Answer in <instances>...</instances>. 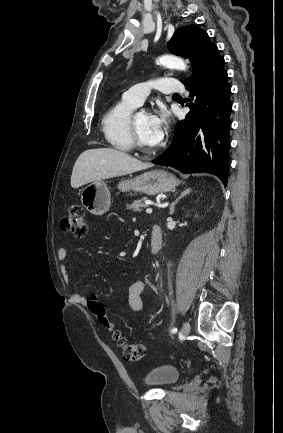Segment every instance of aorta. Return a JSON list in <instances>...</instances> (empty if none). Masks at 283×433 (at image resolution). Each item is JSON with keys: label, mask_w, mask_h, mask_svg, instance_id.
Masks as SVG:
<instances>
[{"label": "aorta", "mask_w": 283, "mask_h": 433, "mask_svg": "<svg viewBox=\"0 0 283 433\" xmlns=\"http://www.w3.org/2000/svg\"><path fill=\"white\" fill-rule=\"evenodd\" d=\"M157 63L163 66H167L182 71H186L188 69L184 60L174 55H163L159 57Z\"/></svg>", "instance_id": "obj_1"}]
</instances>
